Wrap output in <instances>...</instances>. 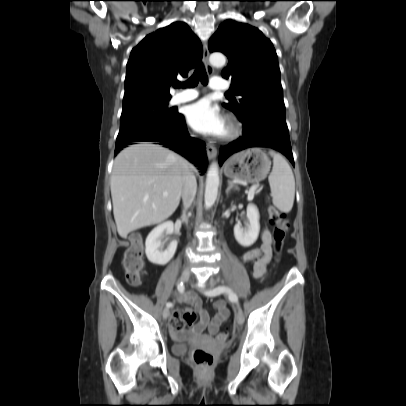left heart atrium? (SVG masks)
Segmentation results:
<instances>
[{
	"label": "left heart atrium",
	"instance_id": "1",
	"mask_svg": "<svg viewBox=\"0 0 406 406\" xmlns=\"http://www.w3.org/2000/svg\"><path fill=\"white\" fill-rule=\"evenodd\" d=\"M186 118L189 125L203 135L222 136L226 127L219 109L207 100H200L188 106Z\"/></svg>",
	"mask_w": 406,
	"mask_h": 406
}]
</instances>
